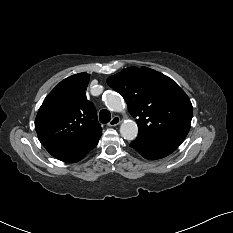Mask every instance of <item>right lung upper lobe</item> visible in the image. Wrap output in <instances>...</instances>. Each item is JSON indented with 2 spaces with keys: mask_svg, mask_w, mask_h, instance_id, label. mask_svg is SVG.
Here are the masks:
<instances>
[{
  "mask_svg": "<svg viewBox=\"0 0 233 233\" xmlns=\"http://www.w3.org/2000/svg\"><path fill=\"white\" fill-rule=\"evenodd\" d=\"M89 74L79 73L61 81L38 110L35 129L41 144L80 145L101 135L93 103L85 91Z\"/></svg>",
  "mask_w": 233,
  "mask_h": 233,
  "instance_id": "obj_1",
  "label": "right lung upper lobe"
}]
</instances>
